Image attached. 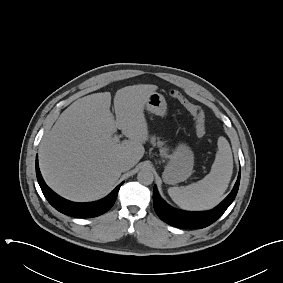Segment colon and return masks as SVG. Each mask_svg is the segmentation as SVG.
<instances>
[{
  "label": "colon",
  "instance_id": "obj_1",
  "mask_svg": "<svg viewBox=\"0 0 283 283\" xmlns=\"http://www.w3.org/2000/svg\"><path fill=\"white\" fill-rule=\"evenodd\" d=\"M170 94L173 98L178 100L183 105V107L191 114L195 121V129L198 136L203 137L206 134V120L205 114L202 109L190 100H188V98L178 90H172Z\"/></svg>",
  "mask_w": 283,
  "mask_h": 283
}]
</instances>
